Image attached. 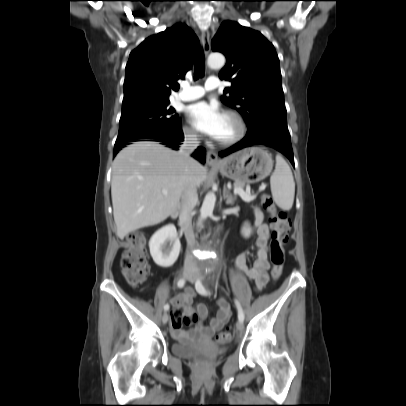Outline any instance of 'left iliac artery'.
Wrapping results in <instances>:
<instances>
[{
	"label": "left iliac artery",
	"instance_id": "1",
	"mask_svg": "<svg viewBox=\"0 0 406 406\" xmlns=\"http://www.w3.org/2000/svg\"><path fill=\"white\" fill-rule=\"evenodd\" d=\"M195 288H196L197 292L199 294H201V295L210 294V292L205 289V287L203 286V284H202V282L200 280L196 281ZM235 303H236V306H237V309H238V319H239V321L243 322L244 321L243 309H242L240 303L237 300H235Z\"/></svg>",
	"mask_w": 406,
	"mask_h": 406
}]
</instances>
